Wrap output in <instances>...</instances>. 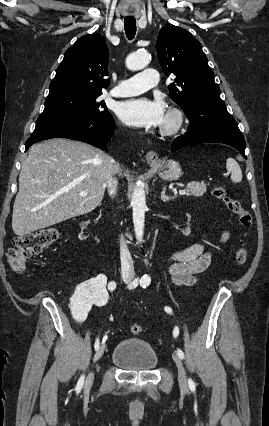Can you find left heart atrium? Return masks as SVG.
I'll list each match as a JSON object with an SVG mask.
<instances>
[{
  "label": "left heart atrium",
  "instance_id": "39dd6f15",
  "mask_svg": "<svg viewBox=\"0 0 269 426\" xmlns=\"http://www.w3.org/2000/svg\"><path fill=\"white\" fill-rule=\"evenodd\" d=\"M120 120L136 128H155L164 124L165 108L161 101L140 97L121 102L117 107Z\"/></svg>",
  "mask_w": 269,
  "mask_h": 426
}]
</instances>
